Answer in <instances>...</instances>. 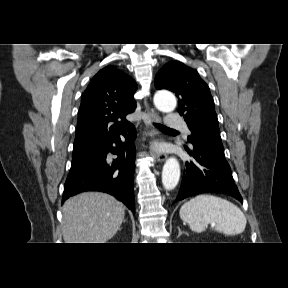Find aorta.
Instances as JSON below:
<instances>
[{
  "label": "aorta",
  "instance_id": "762f6f07",
  "mask_svg": "<svg viewBox=\"0 0 288 288\" xmlns=\"http://www.w3.org/2000/svg\"><path fill=\"white\" fill-rule=\"evenodd\" d=\"M156 108L162 112H172L176 107L175 96L170 92H158L154 96ZM180 179V165L176 158H168L162 170V184L166 190H173Z\"/></svg>",
  "mask_w": 288,
  "mask_h": 288
}]
</instances>
